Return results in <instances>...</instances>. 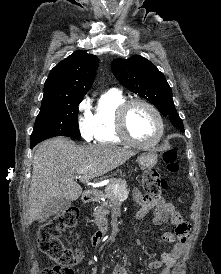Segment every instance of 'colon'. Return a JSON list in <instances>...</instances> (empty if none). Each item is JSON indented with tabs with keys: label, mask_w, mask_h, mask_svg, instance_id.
<instances>
[{
	"label": "colon",
	"mask_w": 221,
	"mask_h": 274,
	"mask_svg": "<svg viewBox=\"0 0 221 274\" xmlns=\"http://www.w3.org/2000/svg\"><path fill=\"white\" fill-rule=\"evenodd\" d=\"M163 160L170 173H176L179 170L177 152L174 149L165 151ZM142 183L151 197H158L167 187L163 177L153 171L144 174ZM78 218V208L70 207L41 225L38 232L39 249L56 264L44 269L42 274H74L73 267L80 261L81 252L77 249L66 248L60 240V235L65 229L74 227Z\"/></svg>",
	"instance_id": "5ec220e1"
}]
</instances>
